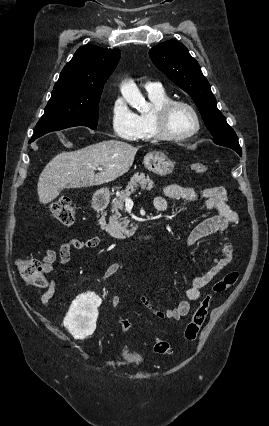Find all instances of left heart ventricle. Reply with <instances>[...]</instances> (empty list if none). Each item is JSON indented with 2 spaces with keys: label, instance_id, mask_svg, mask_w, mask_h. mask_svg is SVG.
Masks as SVG:
<instances>
[{
  "label": "left heart ventricle",
  "instance_id": "b2bd125f",
  "mask_svg": "<svg viewBox=\"0 0 269 426\" xmlns=\"http://www.w3.org/2000/svg\"><path fill=\"white\" fill-rule=\"evenodd\" d=\"M195 126L192 113L185 107H175L169 117L168 127L174 134H184L191 131Z\"/></svg>",
  "mask_w": 269,
  "mask_h": 426
}]
</instances>
